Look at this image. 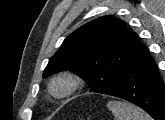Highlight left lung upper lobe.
<instances>
[{
    "label": "left lung upper lobe",
    "instance_id": "left-lung-upper-lobe-1",
    "mask_svg": "<svg viewBox=\"0 0 165 120\" xmlns=\"http://www.w3.org/2000/svg\"><path fill=\"white\" fill-rule=\"evenodd\" d=\"M140 44L138 35L113 15L102 16L71 33L46 66L43 78L70 70L90 86V92L109 94L123 79Z\"/></svg>",
    "mask_w": 165,
    "mask_h": 120
}]
</instances>
